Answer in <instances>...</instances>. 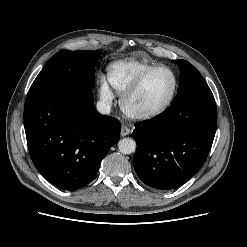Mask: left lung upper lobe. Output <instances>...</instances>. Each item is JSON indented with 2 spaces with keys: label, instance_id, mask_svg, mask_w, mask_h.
Wrapping results in <instances>:
<instances>
[{
  "label": "left lung upper lobe",
  "instance_id": "1",
  "mask_svg": "<svg viewBox=\"0 0 247 247\" xmlns=\"http://www.w3.org/2000/svg\"><path fill=\"white\" fill-rule=\"evenodd\" d=\"M180 68V83L176 98L173 102L196 94L213 95L200 72L186 60H175Z\"/></svg>",
  "mask_w": 247,
  "mask_h": 247
}]
</instances>
